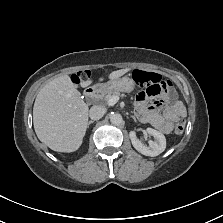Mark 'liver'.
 <instances>
[{"label": "liver", "instance_id": "1", "mask_svg": "<svg viewBox=\"0 0 223 223\" xmlns=\"http://www.w3.org/2000/svg\"><path fill=\"white\" fill-rule=\"evenodd\" d=\"M130 70L113 71L109 79H118ZM90 84L91 80L80 83L83 88ZM77 87L68 75H63L46 84L36 97L33 107L35 132L39 140L54 151L74 152L82 144L89 108Z\"/></svg>", "mask_w": 223, "mask_h": 223}]
</instances>
